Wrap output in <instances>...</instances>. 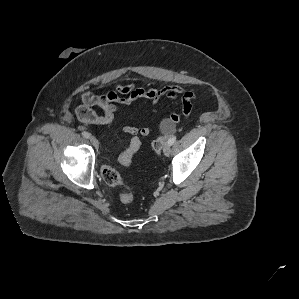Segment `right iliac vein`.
I'll return each mask as SVG.
<instances>
[{
    "mask_svg": "<svg viewBox=\"0 0 299 299\" xmlns=\"http://www.w3.org/2000/svg\"><path fill=\"white\" fill-rule=\"evenodd\" d=\"M89 139H90V142L93 144L94 147H98L99 142L94 136H90Z\"/></svg>",
    "mask_w": 299,
    "mask_h": 299,
    "instance_id": "1",
    "label": "right iliac vein"
}]
</instances>
